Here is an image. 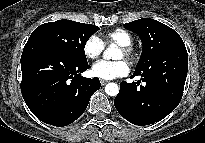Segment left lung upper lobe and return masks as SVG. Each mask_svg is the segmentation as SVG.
I'll use <instances>...</instances> for the list:
<instances>
[{
	"instance_id": "obj_1",
	"label": "left lung upper lobe",
	"mask_w": 205,
	"mask_h": 143,
	"mask_svg": "<svg viewBox=\"0 0 205 143\" xmlns=\"http://www.w3.org/2000/svg\"><path fill=\"white\" fill-rule=\"evenodd\" d=\"M124 27L138 34L143 43V52L136 70L152 67L156 58L167 48L183 43L176 31L151 18L138 19L124 24Z\"/></svg>"
}]
</instances>
